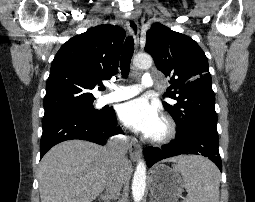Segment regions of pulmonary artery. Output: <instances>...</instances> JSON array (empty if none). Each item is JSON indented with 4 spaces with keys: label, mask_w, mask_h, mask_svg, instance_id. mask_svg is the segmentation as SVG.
Returning a JSON list of instances; mask_svg holds the SVG:
<instances>
[{
    "label": "pulmonary artery",
    "mask_w": 255,
    "mask_h": 202,
    "mask_svg": "<svg viewBox=\"0 0 255 202\" xmlns=\"http://www.w3.org/2000/svg\"><path fill=\"white\" fill-rule=\"evenodd\" d=\"M153 87V78L146 73L142 76L141 85L120 86L101 99L102 104L123 101L137 95L142 89Z\"/></svg>",
    "instance_id": "obj_1"
}]
</instances>
